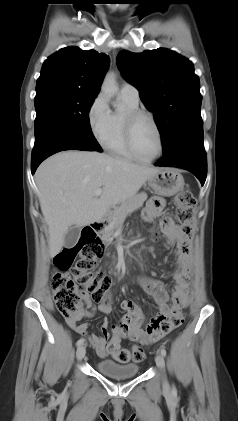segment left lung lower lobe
<instances>
[{
  "instance_id": "obj_1",
  "label": "left lung lower lobe",
  "mask_w": 238,
  "mask_h": 421,
  "mask_svg": "<svg viewBox=\"0 0 238 421\" xmlns=\"http://www.w3.org/2000/svg\"><path fill=\"white\" fill-rule=\"evenodd\" d=\"M179 167L192 172L203 186L207 175V158L203 144V127L183 135L155 164Z\"/></svg>"
}]
</instances>
